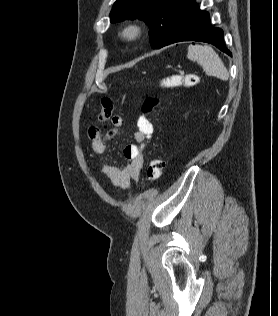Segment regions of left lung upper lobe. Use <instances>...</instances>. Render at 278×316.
Returning <instances> with one entry per match:
<instances>
[{"label":"left lung upper lobe","instance_id":"5c2ea615","mask_svg":"<svg viewBox=\"0 0 278 316\" xmlns=\"http://www.w3.org/2000/svg\"><path fill=\"white\" fill-rule=\"evenodd\" d=\"M191 0H116L110 13L112 23L142 19L149 28L152 48H162L174 33Z\"/></svg>","mask_w":278,"mask_h":316}]
</instances>
